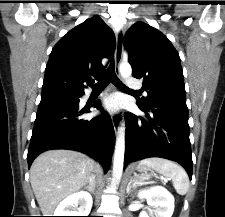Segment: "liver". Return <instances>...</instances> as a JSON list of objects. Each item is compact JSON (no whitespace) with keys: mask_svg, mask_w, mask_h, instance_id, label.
<instances>
[{"mask_svg":"<svg viewBox=\"0 0 225 217\" xmlns=\"http://www.w3.org/2000/svg\"><path fill=\"white\" fill-rule=\"evenodd\" d=\"M100 166L87 155L72 150H49L30 168V182L44 216H52L58 204L79 191Z\"/></svg>","mask_w":225,"mask_h":217,"instance_id":"liver-1","label":"liver"}]
</instances>
